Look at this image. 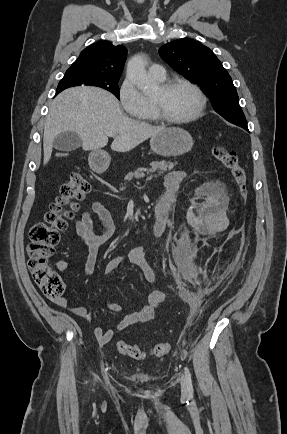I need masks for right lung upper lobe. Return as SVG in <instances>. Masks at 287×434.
Here are the masks:
<instances>
[{"label":"right lung upper lobe","instance_id":"cb5924a9","mask_svg":"<svg viewBox=\"0 0 287 434\" xmlns=\"http://www.w3.org/2000/svg\"><path fill=\"white\" fill-rule=\"evenodd\" d=\"M126 57L127 49L123 45L115 46L111 42L100 41L85 48L67 71L120 78ZM60 92L57 90V94Z\"/></svg>","mask_w":287,"mask_h":434}]
</instances>
